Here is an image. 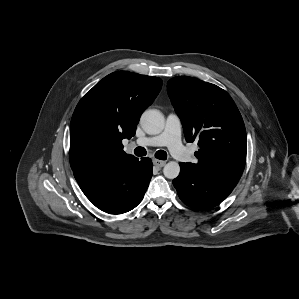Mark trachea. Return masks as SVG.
Masks as SVG:
<instances>
[{
  "label": "trachea",
  "mask_w": 299,
  "mask_h": 299,
  "mask_svg": "<svg viewBox=\"0 0 299 299\" xmlns=\"http://www.w3.org/2000/svg\"><path fill=\"white\" fill-rule=\"evenodd\" d=\"M134 154L138 157H142V156H145L147 154V151L145 148L143 147H136L134 149ZM155 157L157 159H160V160H166L167 159V153L163 150H158L156 153H155Z\"/></svg>",
  "instance_id": "trachea-1"
}]
</instances>
